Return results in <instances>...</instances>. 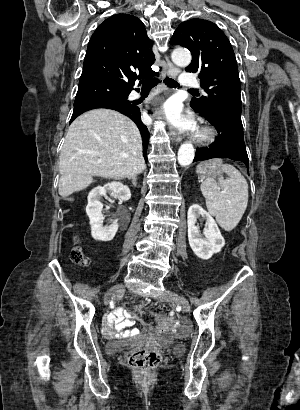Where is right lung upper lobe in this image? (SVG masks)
Returning a JSON list of instances; mask_svg holds the SVG:
<instances>
[{
	"instance_id": "right-lung-upper-lobe-1",
	"label": "right lung upper lobe",
	"mask_w": 300,
	"mask_h": 410,
	"mask_svg": "<svg viewBox=\"0 0 300 410\" xmlns=\"http://www.w3.org/2000/svg\"><path fill=\"white\" fill-rule=\"evenodd\" d=\"M152 46L137 17L113 15L89 41L80 82H101L131 92L137 79L158 75L151 69L155 61Z\"/></svg>"
}]
</instances>
